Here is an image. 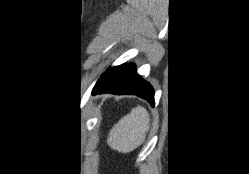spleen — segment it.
I'll list each match as a JSON object with an SVG mask.
<instances>
[{"label": "spleen", "instance_id": "obj_1", "mask_svg": "<svg viewBox=\"0 0 249 174\" xmlns=\"http://www.w3.org/2000/svg\"><path fill=\"white\" fill-rule=\"evenodd\" d=\"M149 125L147 110L138 105L112 127L107 144L118 152L129 153L144 142Z\"/></svg>", "mask_w": 249, "mask_h": 174}]
</instances>
